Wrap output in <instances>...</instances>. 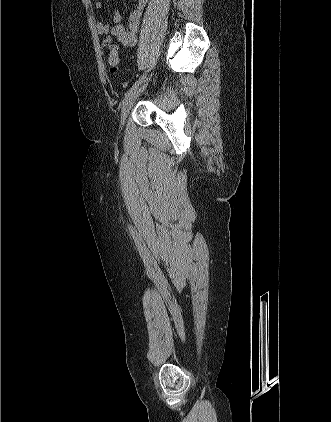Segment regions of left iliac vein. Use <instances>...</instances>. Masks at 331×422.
I'll use <instances>...</instances> for the list:
<instances>
[{"instance_id":"left-iliac-vein-1","label":"left iliac vein","mask_w":331,"mask_h":422,"mask_svg":"<svg viewBox=\"0 0 331 422\" xmlns=\"http://www.w3.org/2000/svg\"><path fill=\"white\" fill-rule=\"evenodd\" d=\"M151 76L152 75H149L148 77H146L143 83L140 86H138V88H136L128 97L125 98L123 102L122 110H121V118H120L121 127L124 126L127 115L132 105L134 104L138 96L146 89L149 81L151 80Z\"/></svg>"}]
</instances>
